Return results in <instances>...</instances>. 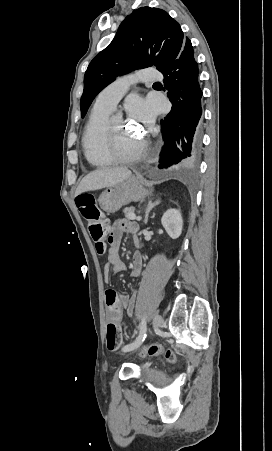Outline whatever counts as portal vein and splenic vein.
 Listing matches in <instances>:
<instances>
[{"mask_svg":"<svg viewBox=\"0 0 272 451\" xmlns=\"http://www.w3.org/2000/svg\"><path fill=\"white\" fill-rule=\"evenodd\" d=\"M129 220H136L135 214H130ZM138 220H141V218H138Z\"/></svg>","mask_w":272,"mask_h":451,"instance_id":"obj_1","label":"portal vein and splenic vein"}]
</instances>
